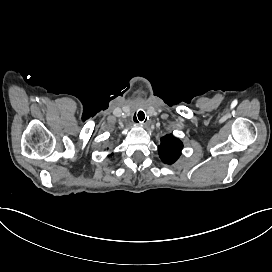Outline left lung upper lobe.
<instances>
[{"label": "left lung upper lobe", "mask_w": 272, "mask_h": 272, "mask_svg": "<svg viewBox=\"0 0 272 272\" xmlns=\"http://www.w3.org/2000/svg\"><path fill=\"white\" fill-rule=\"evenodd\" d=\"M183 143L172 134L161 139L158 152L161 160L166 164H173L180 157Z\"/></svg>", "instance_id": "5c2ea615"}]
</instances>
